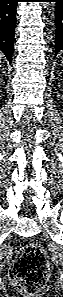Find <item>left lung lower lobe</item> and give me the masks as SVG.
Wrapping results in <instances>:
<instances>
[{"instance_id": "1", "label": "left lung lower lobe", "mask_w": 63, "mask_h": 297, "mask_svg": "<svg viewBox=\"0 0 63 297\" xmlns=\"http://www.w3.org/2000/svg\"><path fill=\"white\" fill-rule=\"evenodd\" d=\"M48 2H56L55 25H56V41L55 56L63 50V0H46Z\"/></svg>"}]
</instances>
